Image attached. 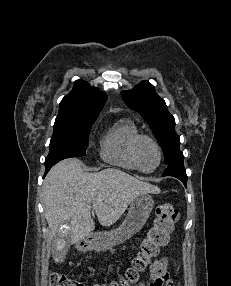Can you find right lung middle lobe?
I'll return each mask as SVG.
<instances>
[{
    "label": "right lung middle lobe",
    "mask_w": 231,
    "mask_h": 286,
    "mask_svg": "<svg viewBox=\"0 0 231 286\" xmlns=\"http://www.w3.org/2000/svg\"><path fill=\"white\" fill-rule=\"evenodd\" d=\"M98 114H58L45 164L70 157L84 156L88 136Z\"/></svg>",
    "instance_id": "obj_1"
}]
</instances>
